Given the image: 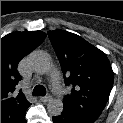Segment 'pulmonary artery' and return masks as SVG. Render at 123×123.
<instances>
[{
    "instance_id": "1",
    "label": "pulmonary artery",
    "mask_w": 123,
    "mask_h": 123,
    "mask_svg": "<svg viewBox=\"0 0 123 123\" xmlns=\"http://www.w3.org/2000/svg\"><path fill=\"white\" fill-rule=\"evenodd\" d=\"M51 78H52V87L53 90L57 93V94H62L63 93V88L61 87L60 83H59V74L56 70H53L51 73Z\"/></svg>"
}]
</instances>
